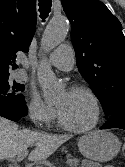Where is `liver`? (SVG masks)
<instances>
[{"mask_svg": "<svg viewBox=\"0 0 125 167\" xmlns=\"http://www.w3.org/2000/svg\"><path fill=\"white\" fill-rule=\"evenodd\" d=\"M70 135H50L29 129L20 130L18 125L0 117V161L19 155L31 145L36 148L29 154L31 161L46 160Z\"/></svg>", "mask_w": 125, "mask_h": 167, "instance_id": "6515ba94", "label": "liver"}]
</instances>
